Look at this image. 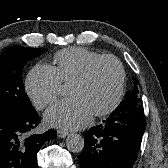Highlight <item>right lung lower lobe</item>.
Returning <instances> with one entry per match:
<instances>
[{
  "label": "right lung lower lobe",
  "instance_id": "98d812e1",
  "mask_svg": "<svg viewBox=\"0 0 168 168\" xmlns=\"http://www.w3.org/2000/svg\"><path fill=\"white\" fill-rule=\"evenodd\" d=\"M40 119L35 110L23 112L0 108V168H38L37 152L55 130L33 134Z\"/></svg>",
  "mask_w": 168,
  "mask_h": 168
}]
</instances>
